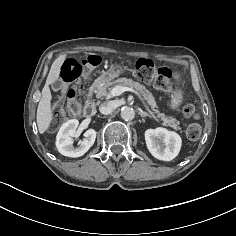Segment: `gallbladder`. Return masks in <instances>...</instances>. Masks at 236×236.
I'll list each match as a JSON object with an SVG mask.
<instances>
[{
	"label": "gallbladder",
	"instance_id": "1",
	"mask_svg": "<svg viewBox=\"0 0 236 236\" xmlns=\"http://www.w3.org/2000/svg\"><path fill=\"white\" fill-rule=\"evenodd\" d=\"M51 87L54 91H58L62 87V82L60 80H56L55 82L52 83Z\"/></svg>",
	"mask_w": 236,
	"mask_h": 236
}]
</instances>
